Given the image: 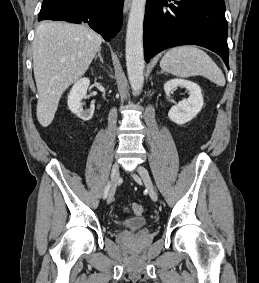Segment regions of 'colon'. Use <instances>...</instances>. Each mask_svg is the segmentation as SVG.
<instances>
[{"instance_id":"1","label":"colon","mask_w":259,"mask_h":283,"mask_svg":"<svg viewBox=\"0 0 259 283\" xmlns=\"http://www.w3.org/2000/svg\"><path fill=\"white\" fill-rule=\"evenodd\" d=\"M130 210L135 215H142L144 213V206L140 203H133L130 206Z\"/></svg>"}]
</instances>
